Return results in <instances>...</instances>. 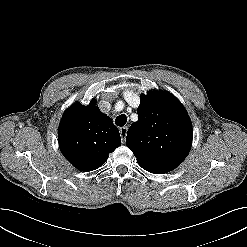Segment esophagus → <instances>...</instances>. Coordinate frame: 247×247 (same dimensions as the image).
<instances>
[{
  "mask_svg": "<svg viewBox=\"0 0 247 247\" xmlns=\"http://www.w3.org/2000/svg\"><path fill=\"white\" fill-rule=\"evenodd\" d=\"M119 131H120V136H121V139H122V143L124 144L126 136H127L128 127L127 126L121 127L119 129Z\"/></svg>",
  "mask_w": 247,
  "mask_h": 247,
  "instance_id": "34e87169",
  "label": "esophagus"
}]
</instances>
